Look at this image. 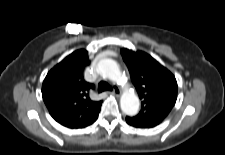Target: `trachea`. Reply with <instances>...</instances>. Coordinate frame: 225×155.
I'll return each instance as SVG.
<instances>
[{"mask_svg": "<svg viewBox=\"0 0 225 155\" xmlns=\"http://www.w3.org/2000/svg\"><path fill=\"white\" fill-rule=\"evenodd\" d=\"M112 87L105 81H101L98 85V92L101 93L103 91H111Z\"/></svg>", "mask_w": 225, "mask_h": 155, "instance_id": "trachea-1", "label": "trachea"}]
</instances>
